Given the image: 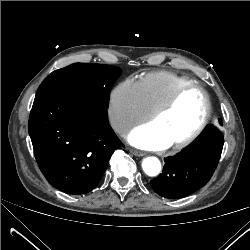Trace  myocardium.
Wrapping results in <instances>:
<instances>
[{
	"mask_svg": "<svg viewBox=\"0 0 250 250\" xmlns=\"http://www.w3.org/2000/svg\"><path fill=\"white\" fill-rule=\"evenodd\" d=\"M192 89L199 90L204 97V100H205L204 116H203L200 124L197 126V128L191 134H189L187 137L171 144V146L175 149H181V148H184V147L190 145L203 133V131L207 127L209 120H210V117H211L212 103H211V98L209 96V93L206 91V89L198 83L185 84V85L179 87L162 106H160L156 111H154L152 113V115L150 117V121L155 122L160 117L164 116L170 110H172V108L176 105L178 100L181 98V96L185 92L192 90Z\"/></svg>",
	"mask_w": 250,
	"mask_h": 250,
	"instance_id": "obj_1",
	"label": "myocardium"
}]
</instances>
